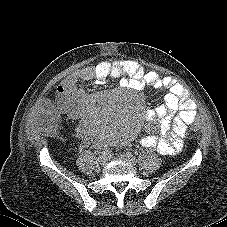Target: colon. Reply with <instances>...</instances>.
I'll return each mask as SVG.
<instances>
[{"mask_svg":"<svg viewBox=\"0 0 227 227\" xmlns=\"http://www.w3.org/2000/svg\"><path fill=\"white\" fill-rule=\"evenodd\" d=\"M184 138L189 143H197L199 141V134L195 132L193 129H186L184 131Z\"/></svg>","mask_w":227,"mask_h":227,"instance_id":"colon-1","label":"colon"}]
</instances>
